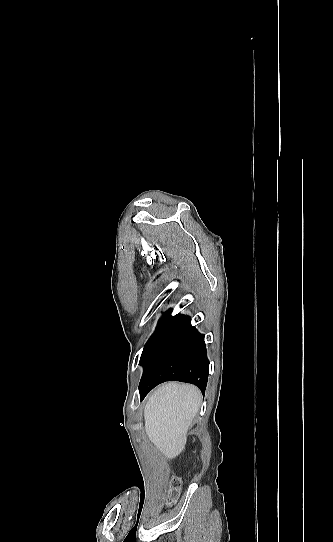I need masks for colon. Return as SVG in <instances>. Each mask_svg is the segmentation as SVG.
<instances>
[{
  "label": "colon",
  "instance_id": "1",
  "mask_svg": "<svg viewBox=\"0 0 333 542\" xmlns=\"http://www.w3.org/2000/svg\"><path fill=\"white\" fill-rule=\"evenodd\" d=\"M180 491L181 482L176 478L171 479L169 490L166 496V504L172 505L173 503H175L179 497Z\"/></svg>",
  "mask_w": 333,
  "mask_h": 542
}]
</instances>
